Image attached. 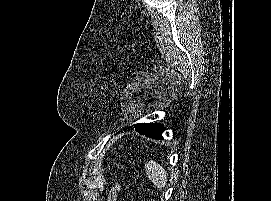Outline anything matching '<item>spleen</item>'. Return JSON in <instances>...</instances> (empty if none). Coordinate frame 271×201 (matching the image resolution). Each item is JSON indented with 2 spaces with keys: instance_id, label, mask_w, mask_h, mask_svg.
Instances as JSON below:
<instances>
[{
  "instance_id": "obj_1",
  "label": "spleen",
  "mask_w": 271,
  "mask_h": 201,
  "mask_svg": "<svg viewBox=\"0 0 271 201\" xmlns=\"http://www.w3.org/2000/svg\"><path fill=\"white\" fill-rule=\"evenodd\" d=\"M148 178L158 188L163 189L167 184V173L165 169L155 161H150L145 166Z\"/></svg>"
}]
</instances>
